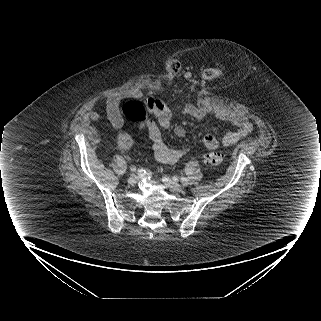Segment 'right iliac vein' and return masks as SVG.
I'll list each match as a JSON object with an SVG mask.
<instances>
[{"mask_svg": "<svg viewBox=\"0 0 321 321\" xmlns=\"http://www.w3.org/2000/svg\"><path fill=\"white\" fill-rule=\"evenodd\" d=\"M138 179H139V177L137 175L133 174L128 178V183L130 185H135L138 182Z\"/></svg>", "mask_w": 321, "mask_h": 321, "instance_id": "right-iliac-vein-1", "label": "right iliac vein"}]
</instances>
